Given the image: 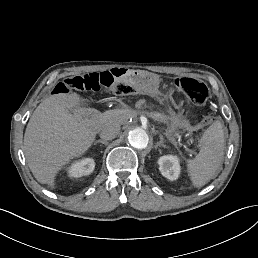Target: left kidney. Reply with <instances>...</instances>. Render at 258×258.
<instances>
[{
	"label": "left kidney",
	"mask_w": 258,
	"mask_h": 258,
	"mask_svg": "<svg viewBox=\"0 0 258 258\" xmlns=\"http://www.w3.org/2000/svg\"><path fill=\"white\" fill-rule=\"evenodd\" d=\"M182 163L183 157L178 155L166 154L157 159V165L161 175L171 181L178 180L182 171Z\"/></svg>",
	"instance_id": "5707ae66"
}]
</instances>
